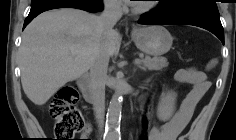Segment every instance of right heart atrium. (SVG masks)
I'll return each mask as SVG.
<instances>
[{
  "label": "right heart atrium",
  "mask_w": 236,
  "mask_h": 140,
  "mask_svg": "<svg viewBox=\"0 0 236 140\" xmlns=\"http://www.w3.org/2000/svg\"><path fill=\"white\" fill-rule=\"evenodd\" d=\"M105 6L112 12H120L122 10L120 2L117 0H106Z\"/></svg>",
  "instance_id": "1"
}]
</instances>
